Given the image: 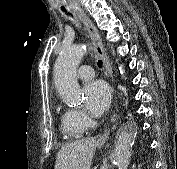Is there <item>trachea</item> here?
I'll return each instance as SVG.
<instances>
[{
	"instance_id": "obj_1",
	"label": "trachea",
	"mask_w": 177,
	"mask_h": 169,
	"mask_svg": "<svg viewBox=\"0 0 177 169\" xmlns=\"http://www.w3.org/2000/svg\"><path fill=\"white\" fill-rule=\"evenodd\" d=\"M62 10H63L64 12H66V10H65V8H64V7H62ZM97 65H98V67H99V68H101V67H102V65H103L102 61H101V60H99V61H98V63H97Z\"/></svg>"
}]
</instances>
